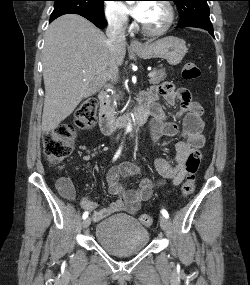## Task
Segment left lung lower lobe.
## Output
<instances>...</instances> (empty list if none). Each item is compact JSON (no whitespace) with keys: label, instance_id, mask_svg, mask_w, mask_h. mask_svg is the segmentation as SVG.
Listing matches in <instances>:
<instances>
[{"label":"left lung lower lobe","instance_id":"0a47b994","mask_svg":"<svg viewBox=\"0 0 250 285\" xmlns=\"http://www.w3.org/2000/svg\"><path fill=\"white\" fill-rule=\"evenodd\" d=\"M204 28L205 30L209 31V33L214 37L213 27H200Z\"/></svg>","mask_w":250,"mask_h":285}]
</instances>
